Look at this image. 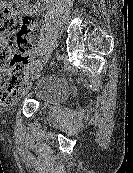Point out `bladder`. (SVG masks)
<instances>
[{"instance_id":"bladder-1","label":"bladder","mask_w":133,"mask_h":173,"mask_svg":"<svg viewBox=\"0 0 133 173\" xmlns=\"http://www.w3.org/2000/svg\"><path fill=\"white\" fill-rule=\"evenodd\" d=\"M67 94V86L63 79L53 74L41 77L30 91V97L46 108L58 107Z\"/></svg>"}]
</instances>
